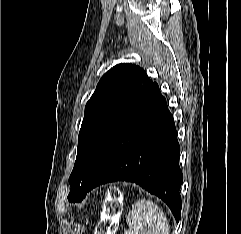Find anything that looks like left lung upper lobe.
Here are the masks:
<instances>
[{
	"instance_id": "1",
	"label": "left lung upper lobe",
	"mask_w": 241,
	"mask_h": 234,
	"mask_svg": "<svg viewBox=\"0 0 241 234\" xmlns=\"http://www.w3.org/2000/svg\"><path fill=\"white\" fill-rule=\"evenodd\" d=\"M152 84L139 66L118 64L103 75L87 102L68 200L80 202L122 124Z\"/></svg>"
}]
</instances>
